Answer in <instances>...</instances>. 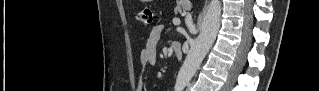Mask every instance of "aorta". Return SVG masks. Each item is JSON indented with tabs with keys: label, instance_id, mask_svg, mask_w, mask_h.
Here are the masks:
<instances>
[{
	"label": "aorta",
	"instance_id": "obj_1",
	"mask_svg": "<svg viewBox=\"0 0 319 91\" xmlns=\"http://www.w3.org/2000/svg\"><path fill=\"white\" fill-rule=\"evenodd\" d=\"M221 20V1L211 0L204 15L198 37L192 42L175 83V91H183L212 47Z\"/></svg>",
	"mask_w": 319,
	"mask_h": 91
}]
</instances>
